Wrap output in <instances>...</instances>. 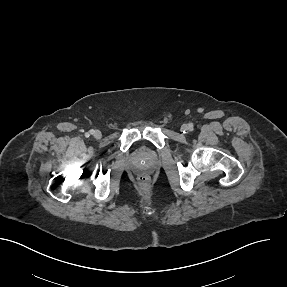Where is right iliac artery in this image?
I'll use <instances>...</instances> for the list:
<instances>
[{"instance_id": "obj_1", "label": "right iliac artery", "mask_w": 287, "mask_h": 287, "mask_svg": "<svg viewBox=\"0 0 287 287\" xmlns=\"http://www.w3.org/2000/svg\"><path fill=\"white\" fill-rule=\"evenodd\" d=\"M89 133H90V134H93V133H94V130H90ZM89 133L86 134L87 137H89V135H90Z\"/></svg>"}]
</instances>
